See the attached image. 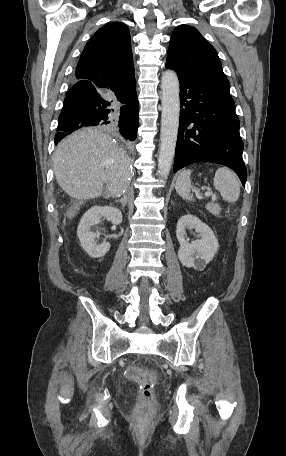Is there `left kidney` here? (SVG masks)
<instances>
[{"label":"left kidney","instance_id":"1","mask_svg":"<svg viewBox=\"0 0 286 456\" xmlns=\"http://www.w3.org/2000/svg\"><path fill=\"white\" fill-rule=\"evenodd\" d=\"M186 229H195L201 239L188 243L185 240ZM176 237L180 243L178 257L183 266L203 270L218 250L219 244L213 231L197 217L187 214L182 216L176 229Z\"/></svg>","mask_w":286,"mask_h":456}]
</instances>
